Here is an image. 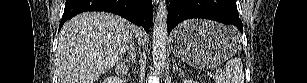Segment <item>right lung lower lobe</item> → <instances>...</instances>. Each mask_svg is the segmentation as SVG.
<instances>
[{
  "mask_svg": "<svg viewBox=\"0 0 307 83\" xmlns=\"http://www.w3.org/2000/svg\"><path fill=\"white\" fill-rule=\"evenodd\" d=\"M86 11H107L120 15L144 27L146 32L153 19L152 0H66L59 29L68 19Z\"/></svg>",
  "mask_w": 307,
  "mask_h": 83,
  "instance_id": "obj_1",
  "label": "right lung lower lobe"
}]
</instances>
